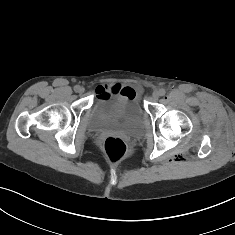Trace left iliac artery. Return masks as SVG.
I'll use <instances>...</instances> for the list:
<instances>
[{
	"mask_svg": "<svg viewBox=\"0 0 235 235\" xmlns=\"http://www.w3.org/2000/svg\"><path fill=\"white\" fill-rule=\"evenodd\" d=\"M159 91H160V95H161V96L165 95V93H166L165 89H163V88L160 89Z\"/></svg>",
	"mask_w": 235,
	"mask_h": 235,
	"instance_id": "1",
	"label": "left iliac artery"
}]
</instances>
